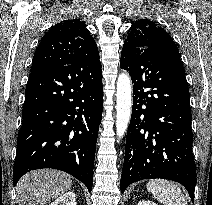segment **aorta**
<instances>
[{
	"label": "aorta",
	"instance_id": "762f6f07",
	"mask_svg": "<svg viewBox=\"0 0 212 205\" xmlns=\"http://www.w3.org/2000/svg\"><path fill=\"white\" fill-rule=\"evenodd\" d=\"M132 110V87L127 73H121L117 79L116 92V134L123 138L127 131Z\"/></svg>",
	"mask_w": 212,
	"mask_h": 205
}]
</instances>
